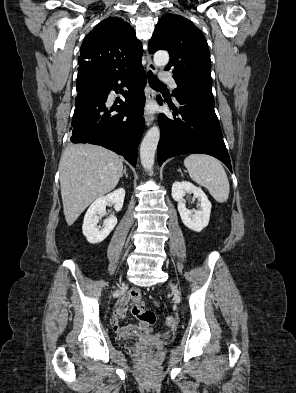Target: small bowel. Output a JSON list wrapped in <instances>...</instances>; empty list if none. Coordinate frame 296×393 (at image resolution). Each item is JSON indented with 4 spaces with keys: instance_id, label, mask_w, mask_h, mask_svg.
I'll return each mask as SVG.
<instances>
[{
    "instance_id": "small-bowel-1",
    "label": "small bowel",
    "mask_w": 296,
    "mask_h": 393,
    "mask_svg": "<svg viewBox=\"0 0 296 393\" xmlns=\"http://www.w3.org/2000/svg\"><path fill=\"white\" fill-rule=\"evenodd\" d=\"M134 299H141V293L137 288H132L127 293L122 295L113 312L110 323L118 336H143L150 331L148 325L144 322H139L138 324H129L126 326H121L119 324V320L124 318L126 314L127 303Z\"/></svg>"
}]
</instances>
